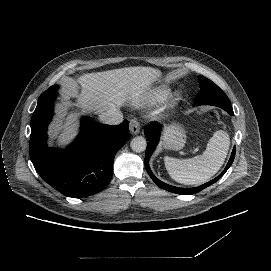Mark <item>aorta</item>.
<instances>
[{"mask_svg": "<svg viewBox=\"0 0 271 271\" xmlns=\"http://www.w3.org/2000/svg\"><path fill=\"white\" fill-rule=\"evenodd\" d=\"M130 147L134 152L140 153L146 150V139L142 136H137L132 139Z\"/></svg>", "mask_w": 271, "mask_h": 271, "instance_id": "1", "label": "aorta"}]
</instances>
